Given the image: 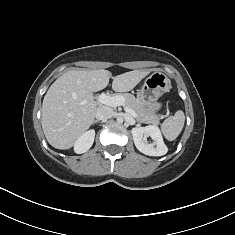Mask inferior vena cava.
Returning <instances> with one entry per match:
<instances>
[{"label": "inferior vena cava", "instance_id": "inferior-vena-cava-1", "mask_svg": "<svg viewBox=\"0 0 235 235\" xmlns=\"http://www.w3.org/2000/svg\"><path fill=\"white\" fill-rule=\"evenodd\" d=\"M113 116V111L107 106H99L96 110L95 117L97 120H107Z\"/></svg>", "mask_w": 235, "mask_h": 235}]
</instances>
